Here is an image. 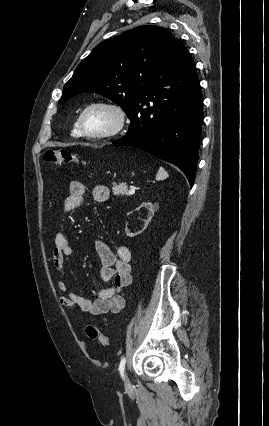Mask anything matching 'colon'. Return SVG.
<instances>
[{
	"label": "colon",
	"mask_w": 269,
	"mask_h": 426,
	"mask_svg": "<svg viewBox=\"0 0 269 426\" xmlns=\"http://www.w3.org/2000/svg\"><path fill=\"white\" fill-rule=\"evenodd\" d=\"M44 160L46 163L53 165H84L78 156L67 149H49L45 152ZM86 334L92 340L97 341L100 345L108 347L111 341L97 326L89 324L86 327Z\"/></svg>",
	"instance_id": "5ec220e1"
}]
</instances>
